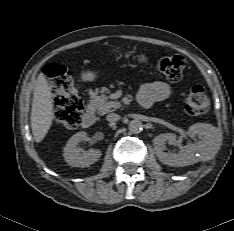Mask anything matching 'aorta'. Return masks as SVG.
<instances>
[{
  "label": "aorta",
  "mask_w": 234,
  "mask_h": 231,
  "mask_svg": "<svg viewBox=\"0 0 234 231\" xmlns=\"http://www.w3.org/2000/svg\"><path fill=\"white\" fill-rule=\"evenodd\" d=\"M128 129L131 133L138 134L143 130V123L138 119L131 120Z\"/></svg>",
  "instance_id": "obj_1"
}]
</instances>
